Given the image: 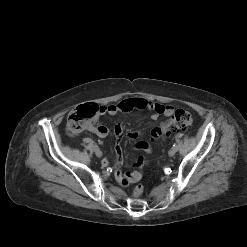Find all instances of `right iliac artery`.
I'll return each mask as SVG.
<instances>
[{"label": "right iliac artery", "instance_id": "right-iliac-artery-1", "mask_svg": "<svg viewBox=\"0 0 247 247\" xmlns=\"http://www.w3.org/2000/svg\"><path fill=\"white\" fill-rule=\"evenodd\" d=\"M94 150L98 149V146L97 145H94L93 146Z\"/></svg>", "mask_w": 247, "mask_h": 247}]
</instances>
